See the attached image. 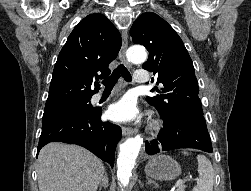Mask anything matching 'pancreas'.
I'll return each instance as SVG.
<instances>
[{
  "label": "pancreas",
  "instance_id": "pancreas-1",
  "mask_svg": "<svg viewBox=\"0 0 251 191\" xmlns=\"http://www.w3.org/2000/svg\"><path fill=\"white\" fill-rule=\"evenodd\" d=\"M176 191H185V185H183V187H178V189H176Z\"/></svg>",
  "mask_w": 251,
  "mask_h": 191
}]
</instances>
